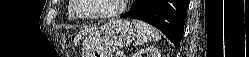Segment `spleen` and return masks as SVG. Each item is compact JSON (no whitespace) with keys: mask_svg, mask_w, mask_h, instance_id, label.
Segmentation results:
<instances>
[{"mask_svg":"<svg viewBox=\"0 0 249 57\" xmlns=\"http://www.w3.org/2000/svg\"><path fill=\"white\" fill-rule=\"evenodd\" d=\"M132 23L138 33V39L136 42L138 45H143L149 41H158L161 39L159 31L151 25L137 19H133Z\"/></svg>","mask_w":249,"mask_h":57,"instance_id":"spleen-1","label":"spleen"}]
</instances>
